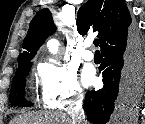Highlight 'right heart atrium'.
Wrapping results in <instances>:
<instances>
[{"instance_id":"right-heart-atrium-1","label":"right heart atrium","mask_w":145,"mask_h":124,"mask_svg":"<svg viewBox=\"0 0 145 124\" xmlns=\"http://www.w3.org/2000/svg\"><path fill=\"white\" fill-rule=\"evenodd\" d=\"M43 103L51 108L76 104L83 96L76 72L55 60H47L38 67Z\"/></svg>"}]
</instances>
